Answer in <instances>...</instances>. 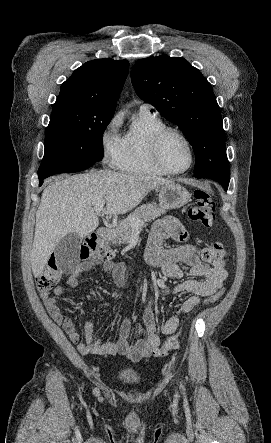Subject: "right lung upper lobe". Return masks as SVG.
<instances>
[{"mask_svg":"<svg viewBox=\"0 0 271 443\" xmlns=\"http://www.w3.org/2000/svg\"><path fill=\"white\" fill-rule=\"evenodd\" d=\"M128 71L126 60L104 58L86 62L62 83L53 106L73 105L89 116H113Z\"/></svg>","mask_w":271,"mask_h":443,"instance_id":"cb5924a9","label":"right lung upper lobe"}]
</instances>
